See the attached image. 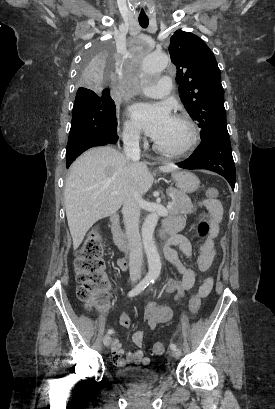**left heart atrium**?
Here are the masks:
<instances>
[{
    "mask_svg": "<svg viewBox=\"0 0 275 409\" xmlns=\"http://www.w3.org/2000/svg\"><path fill=\"white\" fill-rule=\"evenodd\" d=\"M134 115L143 122L147 133L154 137L171 119L165 104L147 106L138 104L132 108Z\"/></svg>",
    "mask_w": 275,
    "mask_h": 409,
    "instance_id": "39dd6f15",
    "label": "left heart atrium"
}]
</instances>
